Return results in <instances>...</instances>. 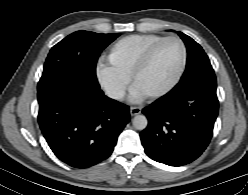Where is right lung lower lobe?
Instances as JSON below:
<instances>
[{"instance_id": "right-lung-lower-lobe-1", "label": "right lung lower lobe", "mask_w": 248, "mask_h": 195, "mask_svg": "<svg viewBox=\"0 0 248 195\" xmlns=\"http://www.w3.org/2000/svg\"><path fill=\"white\" fill-rule=\"evenodd\" d=\"M38 122L54 152L74 168H88L108 158L130 120L128 106L98 88L76 82L38 91Z\"/></svg>"}]
</instances>
